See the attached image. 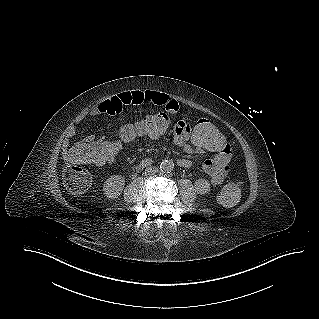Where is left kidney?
I'll list each match as a JSON object with an SVG mask.
<instances>
[{
	"label": "left kidney",
	"instance_id": "5707ae66",
	"mask_svg": "<svg viewBox=\"0 0 319 319\" xmlns=\"http://www.w3.org/2000/svg\"><path fill=\"white\" fill-rule=\"evenodd\" d=\"M195 189L199 194H206L210 191V183L205 179H198L195 182Z\"/></svg>",
	"mask_w": 319,
	"mask_h": 319
}]
</instances>
